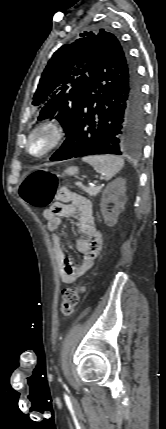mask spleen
<instances>
[{
	"label": "spleen",
	"instance_id": "1",
	"mask_svg": "<svg viewBox=\"0 0 166 429\" xmlns=\"http://www.w3.org/2000/svg\"><path fill=\"white\" fill-rule=\"evenodd\" d=\"M86 163H89L96 172L100 173L105 180H110L124 166V160L115 155H91L82 158Z\"/></svg>",
	"mask_w": 166,
	"mask_h": 429
}]
</instances>
